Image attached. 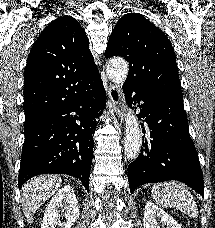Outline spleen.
<instances>
[{
	"mask_svg": "<svg viewBox=\"0 0 215 228\" xmlns=\"http://www.w3.org/2000/svg\"><path fill=\"white\" fill-rule=\"evenodd\" d=\"M152 198L163 208H175L189 218H198V208L190 192L179 182H164L155 184L152 188Z\"/></svg>",
	"mask_w": 215,
	"mask_h": 228,
	"instance_id": "1",
	"label": "spleen"
}]
</instances>
